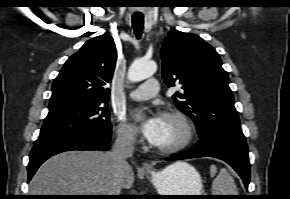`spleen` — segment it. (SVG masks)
Masks as SVG:
<instances>
[{
	"label": "spleen",
	"mask_w": 290,
	"mask_h": 199,
	"mask_svg": "<svg viewBox=\"0 0 290 199\" xmlns=\"http://www.w3.org/2000/svg\"><path fill=\"white\" fill-rule=\"evenodd\" d=\"M216 173L217 167L212 164L210 166L211 177H214ZM212 195H238L232 176L224 168L220 170L219 174L213 180Z\"/></svg>",
	"instance_id": "3e777b00"
}]
</instances>
